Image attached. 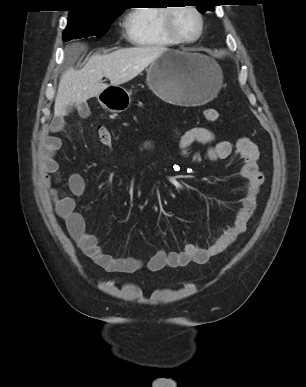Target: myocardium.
<instances>
[{
  "label": "myocardium",
  "mask_w": 306,
  "mask_h": 387,
  "mask_svg": "<svg viewBox=\"0 0 306 387\" xmlns=\"http://www.w3.org/2000/svg\"><path fill=\"white\" fill-rule=\"evenodd\" d=\"M182 7L192 10L197 15V17L199 19V30H198L197 35L193 38H185V37L181 36L175 28L174 14H175L177 9L182 8ZM163 23H164V30H165L166 34L173 41H175L176 43H180V44L195 43L201 38V36L204 32V16H203V13L200 11V9L198 7H196L195 5L186 4L183 6H170L169 8L166 9V12L164 14Z\"/></svg>",
  "instance_id": "1"
}]
</instances>
